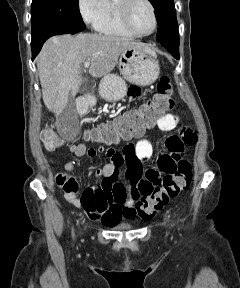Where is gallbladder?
I'll return each mask as SVG.
<instances>
[{
    "label": "gallbladder",
    "mask_w": 240,
    "mask_h": 288,
    "mask_svg": "<svg viewBox=\"0 0 240 288\" xmlns=\"http://www.w3.org/2000/svg\"><path fill=\"white\" fill-rule=\"evenodd\" d=\"M76 116V108H75V103H74V99L70 96L69 97V101H68V105L65 108V110L59 115L58 119L59 122L65 126L68 124L69 120L72 117Z\"/></svg>",
    "instance_id": "bac80fb5"
}]
</instances>
